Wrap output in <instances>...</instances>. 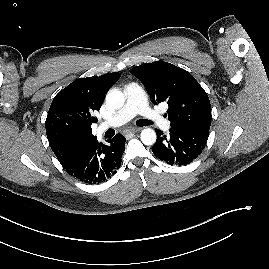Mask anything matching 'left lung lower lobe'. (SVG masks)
I'll return each instance as SVG.
<instances>
[{"label":"left lung lower lobe","mask_w":269,"mask_h":269,"mask_svg":"<svg viewBox=\"0 0 269 269\" xmlns=\"http://www.w3.org/2000/svg\"><path fill=\"white\" fill-rule=\"evenodd\" d=\"M157 141L152 152L170 165H187L196 159L205 147L209 136L207 129H170L169 136L156 129Z\"/></svg>","instance_id":"1"}]
</instances>
